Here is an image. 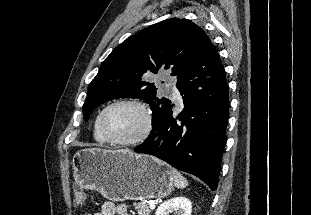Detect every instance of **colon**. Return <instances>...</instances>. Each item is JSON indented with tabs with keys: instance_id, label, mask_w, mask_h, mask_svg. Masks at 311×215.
I'll use <instances>...</instances> for the list:
<instances>
[{
	"instance_id": "obj_1",
	"label": "colon",
	"mask_w": 311,
	"mask_h": 215,
	"mask_svg": "<svg viewBox=\"0 0 311 215\" xmlns=\"http://www.w3.org/2000/svg\"><path fill=\"white\" fill-rule=\"evenodd\" d=\"M86 193L81 188L77 187L74 191V203L76 206H82L86 202Z\"/></svg>"
}]
</instances>
